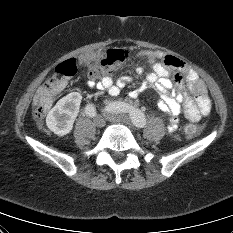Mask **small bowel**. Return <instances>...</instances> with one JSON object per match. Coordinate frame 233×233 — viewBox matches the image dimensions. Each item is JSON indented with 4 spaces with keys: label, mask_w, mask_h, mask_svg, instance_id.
Masks as SVG:
<instances>
[{
    "label": "small bowel",
    "mask_w": 233,
    "mask_h": 233,
    "mask_svg": "<svg viewBox=\"0 0 233 233\" xmlns=\"http://www.w3.org/2000/svg\"><path fill=\"white\" fill-rule=\"evenodd\" d=\"M137 56L145 58L152 66V72L147 76L144 86L155 89L160 95V109L170 115L168 130L177 129L180 115L183 113L190 121H198L209 114L211 103L203 80L195 70L180 59L166 55L157 50H143ZM137 75L143 73V67H137ZM132 76H121L114 80L104 76L95 83L90 80V88L117 96L128 84Z\"/></svg>",
    "instance_id": "c3829d8e"
}]
</instances>
